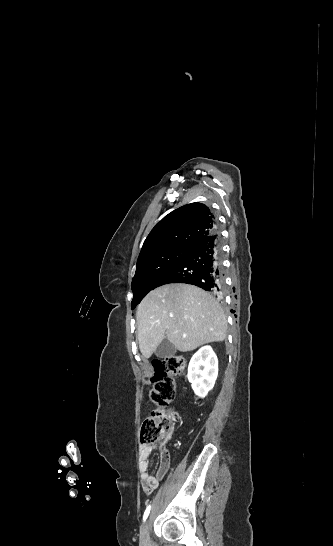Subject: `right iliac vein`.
Masks as SVG:
<instances>
[{
  "instance_id": "1",
  "label": "right iliac vein",
  "mask_w": 333,
  "mask_h": 546,
  "mask_svg": "<svg viewBox=\"0 0 333 546\" xmlns=\"http://www.w3.org/2000/svg\"><path fill=\"white\" fill-rule=\"evenodd\" d=\"M149 541V520H147L141 531V543L145 546Z\"/></svg>"
}]
</instances>
